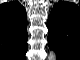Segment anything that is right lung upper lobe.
Wrapping results in <instances>:
<instances>
[{
    "instance_id": "1",
    "label": "right lung upper lobe",
    "mask_w": 80,
    "mask_h": 60,
    "mask_svg": "<svg viewBox=\"0 0 80 60\" xmlns=\"http://www.w3.org/2000/svg\"><path fill=\"white\" fill-rule=\"evenodd\" d=\"M26 11L19 3L0 6V47L6 55H22L27 52Z\"/></svg>"
}]
</instances>
